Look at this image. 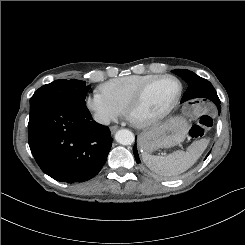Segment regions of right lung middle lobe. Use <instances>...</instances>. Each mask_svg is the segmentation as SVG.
I'll use <instances>...</instances> for the list:
<instances>
[{
	"label": "right lung middle lobe",
	"instance_id": "right-lung-middle-lobe-1",
	"mask_svg": "<svg viewBox=\"0 0 245 245\" xmlns=\"http://www.w3.org/2000/svg\"><path fill=\"white\" fill-rule=\"evenodd\" d=\"M90 86L81 80H55L40 87L30 98V110L46 102H58L70 107L86 108L85 97Z\"/></svg>",
	"mask_w": 245,
	"mask_h": 245
}]
</instances>
